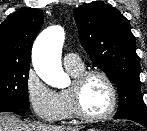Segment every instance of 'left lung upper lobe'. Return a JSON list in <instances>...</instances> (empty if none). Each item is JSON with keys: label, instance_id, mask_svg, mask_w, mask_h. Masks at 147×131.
Instances as JSON below:
<instances>
[{"label": "left lung upper lobe", "instance_id": "5c2ea615", "mask_svg": "<svg viewBox=\"0 0 147 131\" xmlns=\"http://www.w3.org/2000/svg\"><path fill=\"white\" fill-rule=\"evenodd\" d=\"M74 18L83 48L117 86L119 107L115 117L147 120L140 89V60L128 20L101 1L76 8Z\"/></svg>", "mask_w": 147, "mask_h": 131}]
</instances>
